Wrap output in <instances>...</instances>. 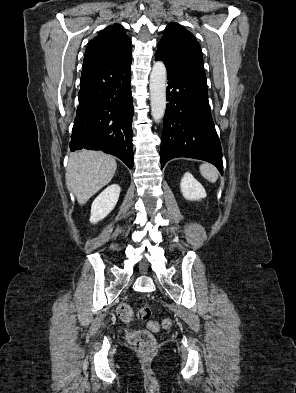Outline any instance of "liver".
<instances>
[{
  "label": "liver",
  "mask_w": 296,
  "mask_h": 393,
  "mask_svg": "<svg viewBox=\"0 0 296 393\" xmlns=\"http://www.w3.org/2000/svg\"><path fill=\"white\" fill-rule=\"evenodd\" d=\"M117 168L110 155L99 151L81 150L70 154L66 169V185L80 205L107 185Z\"/></svg>",
  "instance_id": "1"
}]
</instances>
